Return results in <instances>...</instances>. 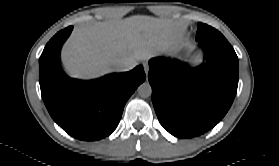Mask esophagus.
<instances>
[{"instance_id":"34e87169","label":"esophagus","mask_w":279,"mask_h":166,"mask_svg":"<svg viewBox=\"0 0 279 166\" xmlns=\"http://www.w3.org/2000/svg\"><path fill=\"white\" fill-rule=\"evenodd\" d=\"M144 71L146 74H148V68L147 67H144Z\"/></svg>"}]
</instances>
